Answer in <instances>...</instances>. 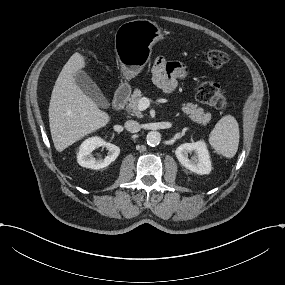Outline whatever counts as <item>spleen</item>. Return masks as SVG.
I'll return each mask as SVG.
<instances>
[{
  "label": "spleen",
  "mask_w": 285,
  "mask_h": 285,
  "mask_svg": "<svg viewBox=\"0 0 285 285\" xmlns=\"http://www.w3.org/2000/svg\"><path fill=\"white\" fill-rule=\"evenodd\" d=\"M239 126L231 115L222 117L209 135L210 145L227 158L235 156L239 145Z\"/></svg>",
  "instance_id": "obj_1"
}]
</instances>
